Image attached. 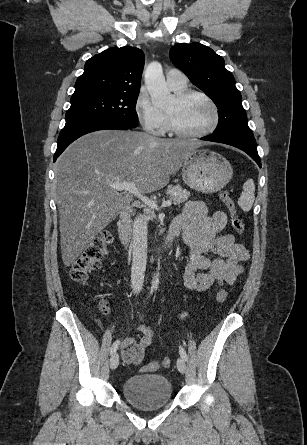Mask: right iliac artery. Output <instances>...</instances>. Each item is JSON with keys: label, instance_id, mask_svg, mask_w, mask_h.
<instances>
[{"label": "right iliac artery", "instance_id": "obj_1", "mask_svg": "<svg viewBox=\"0 0 307 445\" xmlns=\"http://www.w3.org/2000/svg\"><path fill=\"white\" fill-rule=\"evenodd\" d=\"M119 344H120V341H119V340H117V341H115V342L113 343V345H112V347H111V349H110V354H111V355H113V354L116 352V350H117Z\"/></svg>", "mask_w": 307, "mask_h": 445}]
</instances>
